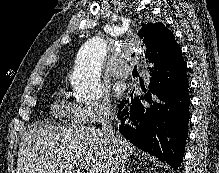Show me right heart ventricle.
Segmentation results:
<instances>
[{
    "instance_id": "e07e8e85",
    "label": "right heart ventricle",
    "mask_w": 219,
    "mask_h": 173,
    "mask_svg": "<svg viewBox=\"0 0 219 173\" xmlns=\"http://www.w3.org/2000/svg\"><path fill=\"white\" fill-rule=\"evenodd\" d=\"M52 116L65 124L77 123L76 106L61 93L52 105Z\"/></svg>"
}]
</instances>
